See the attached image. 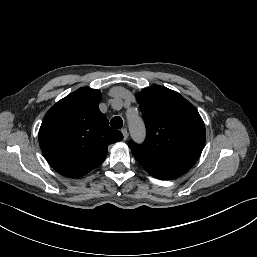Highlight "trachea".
Returning <instances> with one entry per match:
<instances>
[{
  "label": "trachea",
  "mask_w": 257,
  "mask_h": 257,
  "mask_svg": "<svg viewBox=\"0 0 257 257\" xmlns=\"http://www.w3.org/2000/svg\"><path fill=\"white\" fill-rule=\"evenodd\" d=\"M110 125L114 128L120 129L123 126V120L119 116L113 117L110 121Z\"/></svg>",
  "instance_id": "obj_1"
}]
</instances>
